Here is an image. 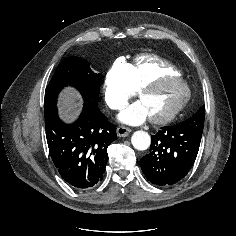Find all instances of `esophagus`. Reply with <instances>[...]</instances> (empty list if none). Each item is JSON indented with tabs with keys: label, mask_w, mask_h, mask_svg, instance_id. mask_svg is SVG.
Listing matches in <instances>:
<instances>
[{
	"label": "esophagus",
	"mask_w": 236,
	"mask_h": 236,
	"mask_svg": "<svg viewBox=\"0 0 236 236\" xmlns=\"http://www.w3.org/2000/svg\"><path fill=\"white\" fill-rule=\"evenodd\" d=\"M131 129L125 126H120L117 128V135L119 137H126L130 134Z\"/></svg>",
	"instance_id": "esophagus-1"
}]
</instances>
